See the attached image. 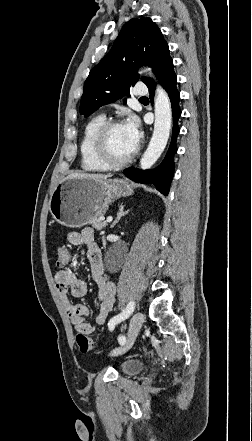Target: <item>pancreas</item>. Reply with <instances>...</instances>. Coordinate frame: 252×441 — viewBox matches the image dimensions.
I'll use <instances>...</instances> for the list:
<instances>
[{
	"instance_id": "pancreas-1",
	"label": "pancreas",
	"mask_w": 252,
	"mask_h": 441,
	"mask_svg": "<svg viewBox=\"0 0 252 441\" xmlns=\"http://www.w3.org/2000/svg\"><path fill=\"white\" fill-rule=\"evenodd\" d=\"M90 225H92V227H94L97 230H102L103 228L106 227V222L104 219H102L101 217H93L89 220L88 222Z\"/></svg>"
}]
</instances>
